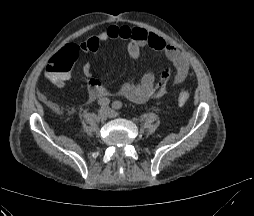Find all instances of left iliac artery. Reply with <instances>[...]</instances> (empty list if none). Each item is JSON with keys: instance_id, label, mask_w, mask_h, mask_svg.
Returning a JSON list of instances; mask_svg holds the SVG:
<instances>
[{"instance_id": "1", "label": "left iliac artery", "mask_w": 254, "mask_h": 216, "mask_svg": "<svg viewBox=\"0 0 254 216\" xmlns=\"http://www.w3.org/2000/svg\"><path fill=\"white\" fill-rule=\"evenodd\" d=\"M112 108L116 109V110H119L122 108V103L120 101H114L112 103Z\"/></svg>"}]
</instances>
